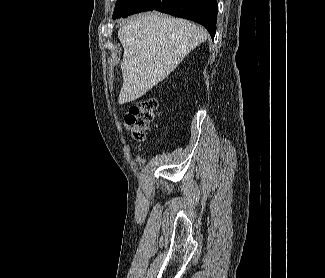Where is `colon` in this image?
I'll list each match as a JSON object with an SVG mask.
<instances>
[{
  "mask_svg": "<svg viewBox=\"0 0 325 278\" xmlns=\"http://www.w3.org/2000/svg\"><path fill=\"white\" fill-rule=\"evenodd\" d=\"M157 100L146 98L133 104L124 117V124L134 141H143L155 118Z\"/></svg>",
  "mask_w": 325,
  "mask_h": 278,
  "instance_id": "5ec220e1",
  "label": "colon"
}]
</instances>
